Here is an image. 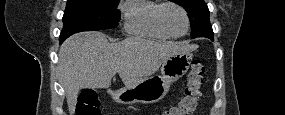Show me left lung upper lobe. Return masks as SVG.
Masks as SVG:
<instances>
[{"label":"left lung upper lobe","mask_w":285,"mask_h":115,"mask_svg":"<svg viewBox=\"0 0 285 115\" xmlns=\"http://www.w3.org/2000/svg\"><path fill=\"white\" fill-rule=\"evenodd\" d=\"M182 6L189 14L191 37L213 38V30L209 21V9L204 0H171Z\"/></svg>","instance_id":"1"}]
</instances>
